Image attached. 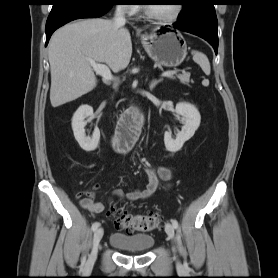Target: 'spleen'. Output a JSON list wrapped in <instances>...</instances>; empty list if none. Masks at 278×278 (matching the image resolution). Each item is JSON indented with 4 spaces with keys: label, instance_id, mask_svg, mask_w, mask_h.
<instances>
[{
    "label": "spleen",
    "instance_id": "1",
    "mask_svg": "<svg viewBox=\"0 0 278 278\" xmlns=\"http://www.w3.org/2000/svg\"><path fill=\"white\" fill-rule=\"evenodd\" d=\"M193 60L200 65L201 69L206 75H210V63L207 56L198 51H192Z\"/></svg>",
    "mask_w": 278,
    "mask_h": 278
}]
</instances>
